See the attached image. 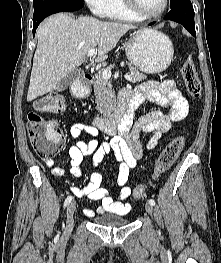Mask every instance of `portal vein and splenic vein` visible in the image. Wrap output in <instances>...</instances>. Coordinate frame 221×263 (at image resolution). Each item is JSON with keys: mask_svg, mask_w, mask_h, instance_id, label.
Wrapping results in <instances>:
<instances>
[{"mask_svg": "<svg viewBox=\"0 0 221 263\" xmlns=\"http://www.w3.org/2000/svg\"><path fill=\"white\" fill-rule=\"evenodd\" d=\"M95 53H96L95 48L90 49L88 54H87V57H92V56L95 55ZM102 76H103L104 79H110L111 78V70L110 69H104L102 71ZM124 77H125V79L127 81H131L132 80V76L131 75H125Z\"/></svg>", "mask_w": 221, "mask_h": 263, "instance_id": "1", "label": "portal vein and splenic vein"}]
</instances>
